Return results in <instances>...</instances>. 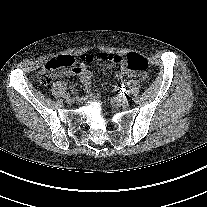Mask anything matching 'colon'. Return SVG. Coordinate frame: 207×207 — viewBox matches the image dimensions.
Returning <instances> with one entry per match:
<instances>
[{"mask_svg":"<svg viewBox=\"0 0 207 207\" xmlns=\"http://www.w3.org/2000/svg\"><path fill=\"white\" fill-rule=\"evenodd\" d=\"M93 61L118 63L121 61V58L109 53L86 54L81 56L79 59L70 55H61L46 63L37 76L38 83L41 86H48L53 80V72L55 70L69 69V71H75L79 68V63H90ZM125 65L129 70L140 73H145L149 68L147 59L135 53H130L126 57Z\"/></svg>","mask_w":207,"mask_h":207,"instance_id":"1","label":"colon"}]
</instances>
